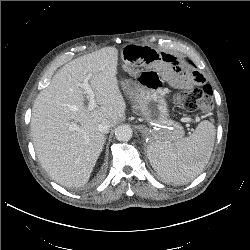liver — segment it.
Instances as JSON below:
<instances>
[{"label": "liver", "instance_id": "obj_1", "mask_svg": "<svg viewBox=\"0 0 250 250\" xmlns=\"http://www.w3.org/2000/svg\"><path fill=\"white\" fill-rule=\"evenodd\" d=\"M118 50L104 47L64 65L37 96L31 134L42 168L65 187L84 186L105 143L102 122L117 124L126 103L117 80ZM91 74L89 85L100 106L89 110L78 85ZM77 125L78 129L71 127Z\"/></svg>", "mask_w": 250, "mask_h": 250}]
</instances>
